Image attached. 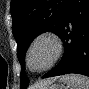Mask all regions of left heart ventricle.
Wrapping results in <instances>:
<instances>
[{
  "instance_id": "b2bd125f",
  "label": "left heart ventricle",
  "mask_w": 89,
  "mask_h": 89,
  "mask_svg": "<svg viewBox=\"0 0 89 89\" xmlns=\"http://www.w3.org/2000/svg\"><path fill=\"white\" fill-rule=\"evenodd\" d=\"M55 54V45L51 40L43 39L32 49L30 64L34 69H41L47 66Z\"/></svg>"
}]
</instances>
